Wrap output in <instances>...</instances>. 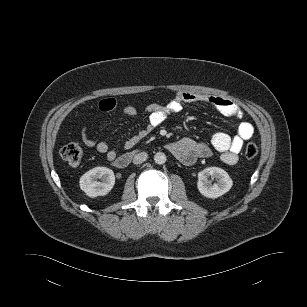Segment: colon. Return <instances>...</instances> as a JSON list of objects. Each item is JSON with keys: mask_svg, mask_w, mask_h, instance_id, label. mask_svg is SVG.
I'll return each mask as SVG.
<instances>
[{"mask_svg": "<svg viewBox=\"0 0 307 307\" xmlns=\"http://www.w3.org/2000/svg\"><path fill=\"white\" fill-rule=\"evenodd\" d=\"M259 152L258 146L254 142H250L245 147V156L252 159ZM60 155L63 160L69 164H78L82 158V148L77 143H69L63 146L60 150Z\"/></svg>", "mask_w": 307, "mask_h": 307, "instance_id": "5ec220e1", "label": "colon"}]
</instances>
